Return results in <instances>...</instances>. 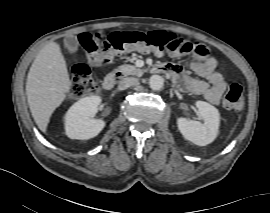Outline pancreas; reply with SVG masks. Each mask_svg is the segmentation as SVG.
<instances>
[{"instance_id":"1","label":"pancreas","mask_w":270,"mask_h":213,"mask_svg":"<svg viewBox=\"0 0 270 213\" xmlns=\"http://www.w3.org/2000/svg\"><path fill=\"white\" fill-rule=\"evenodd\" d=\"M118 70L124 76H128V75L141 76L144 73L143 69H139L136 66L129 65V64H124V65L119 66Z\"/></svg>"}]
</instances>
